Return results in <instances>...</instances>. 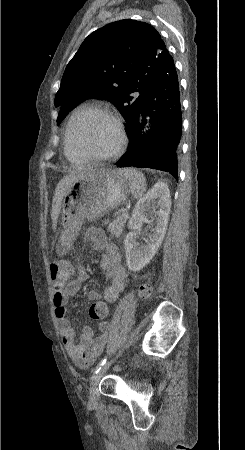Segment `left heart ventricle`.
<instances>
[{"instance_id":"1","label":"left heart ventricle","mask_w":245,"mask_h":450,"mask_svg":"<svg viewBox=\"0 0 245 450\" xmlns=\"http://www.w3.org/2000/svg\"><path fill=\"white\" fill-rule=\"evenodd\" d=\"M75 137L87 153L96 156L113 152L119 142V135L114 124L102 118L88 122L77 121Z\"/></svg>"}]
</instances>
